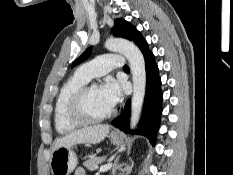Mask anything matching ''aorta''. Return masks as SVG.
Returning <instances> with one entry per match:
<instances>
[{
    "mask_svg": "<svg viewBox=\"0 0 233 175\" xmlns=\"http://www.w3.org/2000/svg\"><path fill=\"white\" fill-rule=\"evenodd\" d=\"M105 47L109 51L123 54L129 61L133 81L130 126L133 129L139 121L145 96L146 70L144 57L135 44L125 39H109L106 41Z\"/></svg>",
    "mask_w": 233,
    "mask_h": 175,
    "instance_id": "762f6f07",
    "label": "aorta"
}]
</instances>
